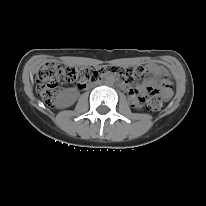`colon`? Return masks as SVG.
Instances as JSON below:
<instances>
[{
  "label": "colon",
  "instance_id": "1",
  "mask_svg": "<svg viewBox=\"0 0 206 206\" xmlns=\"http://www.w3.org/2000/svg\"><path fill=\"white\" fill-rule=\"evenodd\" d=\"M145 72L144 67L95 69L92 67H64L57 63H46L37 72L36 90L43 102L51 105L61 83H72L83 89L88 83L98 80L104 73L117 74L127 82H131L142 77ZM171 94V83L168 79H164L158 85L148 86L147 93L139 99L148 109L158 111L162 107V101L169 99Z\"/></svg>",
  "mask_w": 206,
  "mask_h": 206
}]
</instances>
